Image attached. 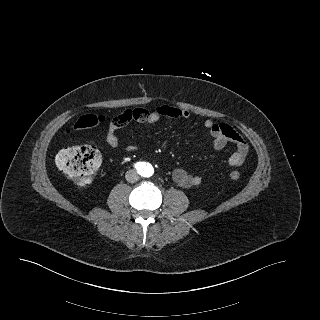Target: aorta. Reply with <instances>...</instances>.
Segmentation results:
<instances>
[{"label":"aorta","mask_w":320,"mask_h":320,"mask_svg":"<svg viewBox=\"0 0 320 320\" xmlns=\"http://www.w3.org/2000/svg\"><path fill=\"white\" fill-rule=\"evenodd\" d=\"M153 168L152 167H148L145 171H144V176L145 177H150V176H152V174H153Z\"/></svg>","instance_id":"aorta-1"}]
</instances>
